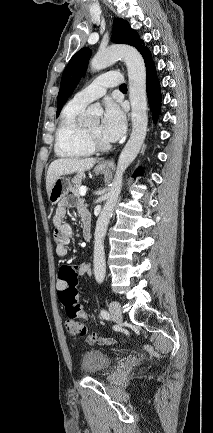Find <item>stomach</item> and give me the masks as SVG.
I'll return each mask as SVG.
<instances>
[{
	"mask_svg": "<svg viewBox=\"0 0 213 433\" xmlns=\"http://www.w3.org/2000/svg\"><path fill=\"white\" fill-rule=\"evenodd\" d=\"M95 171L97 173H106L108 168L97 165L95 167ZM71 187L70 180L66 177H59L51 189L47 192L48 201L53 205L58 203L61 199H63L69 192Z\"/></svg>",
	"mask_w": 213,
	"mask_h": 433,
	"instance_id": "stomach-1",
	"label": "stomach"
}]
</instances>
